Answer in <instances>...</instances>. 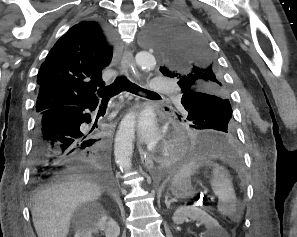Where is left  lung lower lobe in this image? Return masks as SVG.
Segmentation results:
<instances>
[{"label": "left lung lower lobe", "instance_id": "0a47b994", "mask_svg": "<svg viewBox=\"0 0 297 237\" xmlns=\"http://www.w3.org/2000/svg\"><path fill=\"white\" fill-rule=\"evenodd\" d=\"M211 123L207 121L206 125H199L196 121L191 122L192 131L177 151L176 161L185 162L204 156L230 157L236 154L235 135L213 127Z\"/></svg>", "mask_w": 297, "mask_h": 237}]
</instances>
